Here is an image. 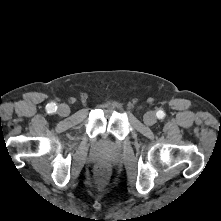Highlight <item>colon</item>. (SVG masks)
Instances as JSON below:
<instances>
[{
	"label": "colon",
	"mask_w": 221,
	"mask_h": 221,
	"mask_svg": "<svg viewBox=\"0 0 221 221\" xmlns=\"http://www.w3.org/2000/svg\"><path fill=\"white\" fill-rule=\"evenodd\" d=\"M96 174H97V184L99 186H102L105 183L109 174L107 167L99 166L96 170Z\"/></svg>",
	"instance_id": "colon-1"
}]
</instances>
